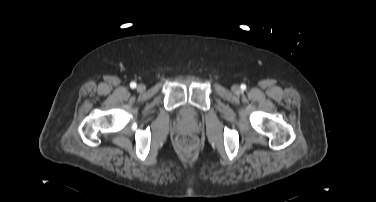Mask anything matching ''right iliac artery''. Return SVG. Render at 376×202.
<instances>
[{
  "mask_svg": "<svg viewBox=\"0 0 376 202\" xmlns=\"http://www.w3.org/2000/svg\"><path fill=\"white\" fill-rule=\"evenodd\" d=\"M136 86H137V84H136L135 82H131V83H130V87H131L132 89L136 88Z\"/></svg>",
  "mask_w": 376,
  "mask_h": 202,
  "instance_id": "obj_1",
  "label": "right iliac artery"
}]
</instances>
